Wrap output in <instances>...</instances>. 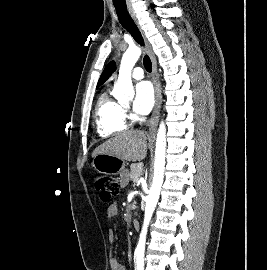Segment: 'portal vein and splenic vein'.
I'll use <instances>...</instances> for the list:
<instances>
[{"label": "portal vein and splenic vein", "mask_w": 267, "mask_h": 270, "mask_svg": "<svg viewBox=\"0 0 267 270\" xmlns=\"http://www.w3.org/2000/svg\"><path fill=\"white\" fill-rule=\"evenodd\" d=\"M139 181V178L136 180V182H138Z\"/></svg>", "instance_id": "obj_1"}]
</instances>
